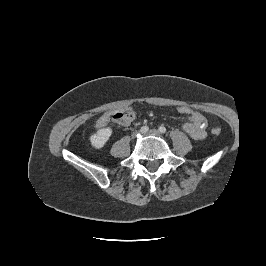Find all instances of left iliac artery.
Here are the masks:
<instances>
[{"label": "left iliac artery", "instance_id": "44dca946", "mask_svg": "<svg viewBox=\"0 0 266 266\" xmlns=\"http://www.w3.org/2000/svg\"><path fill=\"white\" fill-rule=\"evenodd\" d=\"M159 131H160L161 133H166V128H165L164 126H160V127H159Z\"/></svg>", "mask_w": 266, "mask_h": 266}]
</instances>
